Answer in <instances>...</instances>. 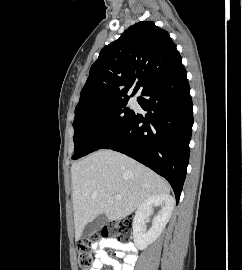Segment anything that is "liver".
<instances>
[{
    "label": "liver",
    "instance_id": "liver-1",
    "mask_svg": "<svg viewBox=\"0 0 242 270\" xmlns=\"http://www.w3.org/2000/svg\"><path fill=\"white\" fill-rule=\"evenodd\" d=\"M75 240L98 215L109 221L125 218L147 198L169 194V184L134 159L113 150H99L71 167ZM121 195L116 200L115 195Z\"/></svg>",
    "mask_w": 242,
    "mask_h": 270
}]
</instances>
